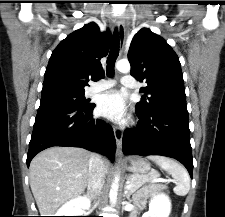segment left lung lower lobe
I'll return each instance as SVG.
<instances>
[{
	"label": "left lung lower lobe",
	"mask_w": 225,
	"mask_h": 217,
	"mask_svg": "<svg viewBox=\"0 0 225 217\" xmlns=\"http://www.w3.org/2000/svg\"><path fill=\"white\" fill-rule=\"evenodd\" d=\"M139 122L123 135V152L138 155H163L180 161L193 172L187 107H159L150 112L137 110Z\"/></svg>",
	"instance_id": "obj_1"
}]
</instances>
